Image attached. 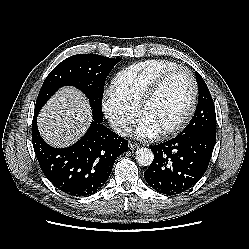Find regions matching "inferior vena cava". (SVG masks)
<instances>
[{"mask_svg": "<svg viewBox=\"0 0 249 249\" xmlns=\"http://www.w3.org/2000/svg\"><path fill=\"white\" fill-rule=\"evenodd\" d=\"M111 128L116 132L117 134L121 136H126L132 134V128L126 123H123L121 121H112L111 122Z\"/></svg>", "mask_w": 249, "mask_h": 249, "instance_id": "inferior-vena-cava-1", "label": "inferior vena cava"}]
</instances>
